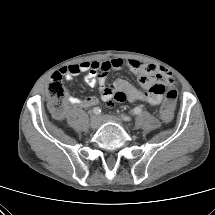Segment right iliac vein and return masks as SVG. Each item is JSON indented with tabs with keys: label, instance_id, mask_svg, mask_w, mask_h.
I'll return each mask as SVG.
<instances>
[{
	"label": "right iliac vein",
	"instance_id": "63e3f726",
	"mask_svg": "<svg viewBox=\"0 0 215 215\" xmlns=\"http://www.w3.org/2000/svg\"><path fill=\"white\" fill-rule=\"evenodd\" d=\"M90 126L92 129H97L100 126V118L97 116H92L90 120Z\"/></svg>",
	"mask_w": 215,
	"mask_h": 215
}]
</instances>
